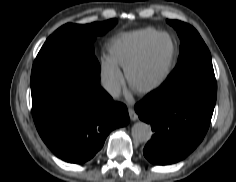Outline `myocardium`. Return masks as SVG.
<instances>
[{
	"label": "myocardium",
	"mask_w": 236,
	"mask_h": 182,
	"mask_svg": "<svg viewBox=\"0 0 236 182\" xmlns=\"http://www.w3.org/2000/svg\"><path fill=\"white\" fill-rule=\"evenodd\" d=\"M166 36L169 39V43H170V48H171V55H170V59L168 61V64L166 66V69L164 70V72L161 74V76L155 80L154 82L147 84V85H143V86H139L136 85L133 81H132V73L134 71V69L136 67H138L149 55V53L151 52L155 42L160 38ZM176 58V48H175V43L174 40L172 38V36L168 33L165 32H161L158 33L147 45V47L143 50V52L138 55L134 60H132L125 68V76L126 79L129 83V85L137 92L140 93H145V92H149L152 91L154 89H156L158 86H160L168 77V75L170 74L174 61Z\"/></svg>",
	"instance_id": "f54148a6"
}]
</instances>
